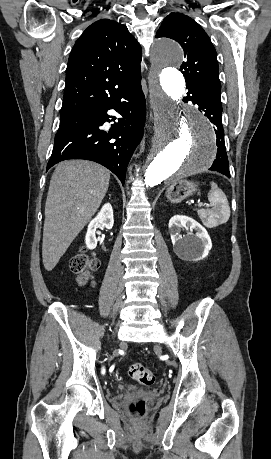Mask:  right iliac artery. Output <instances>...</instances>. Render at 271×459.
<instances>
[{
	"instance_id": "82829eb1",
	"label": "right iliac artery",
	"mask_w": 271,
	"mask_h": 459,
	"mask_svg": "<svg viewBox=\"0 0 271 459\" xmlns=\"http://www.w3.org/2000/svg\"><path fill=\"white\" fill-rule=\"evenodd\" d=\"M101 370H102V371H105V370H106V367H105L104 365H102Z\"/></svg>"
}]
</instances>
